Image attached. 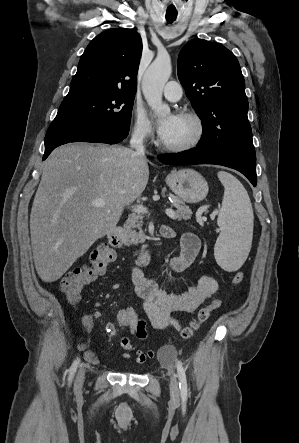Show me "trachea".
<instances>
[{
    "label": "trachea",
    "mask_w": 299,
    "mask_h": 443,
    "mask_svg": "<svg viewBox=\"0 0 299 443\" xmlns=\"http://www.w3.org/2000/svg\"><path fill=\"white\" fill-rule=\"evenodd\" d=\"M176 16H177L176 13L166 12V16H165V18H166V20H167L168 23H172L173 21L176 20Z\"/></svg>",
    "instance_id": "3493384b"
}]
</instances>
